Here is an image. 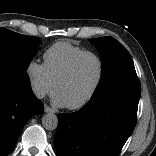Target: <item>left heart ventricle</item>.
Segmentation results:
<instances>
[{
	"label": "left heart ventricle",
	"mask_w": 156,
	"mask_h": 156,
	"mask_svg": "<svg viewBox=\"0 0 156 156\" xmlns=\"http://www.w3.org/2000/svg\"><path fill=\"white\" fill-rule=\"evenodd\" d=\"M99 63L93 56L82 58L72 75L57 89V93L66 105H73L83 100L93 89L99 76Z\"/></svg>",
	"instance_id": "obj_1"
}]
</instances>
